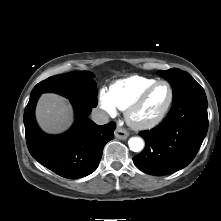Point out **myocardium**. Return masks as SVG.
Returning <instances> with one entry per match:
<instances>
[{
  "label": "myocardium",
  "mask_w": 221,
  "mask_h": 221,
  "mask_svg": "<svg viewBox=\"0 0 221 221\" xmlns=\"http://www.w3.org/2000/svg\"><path fill=\"white\" fill-rule=\"evenodd\" d=\"M161 84L166 85L169 89V98L165 107L160 112V114L153 119L144 120L139 118L138 116L139 110L141 109V107L143 106V104L151 94V92ZM173 100H174V90L172 85L166 80H157L156 82L148 86L129 106V108L126 111L127 121L133 128L138 130H149L155 128L160 123H162L164 119L167 117L172 107Z\"/></svg>",
  "instance_id": "1"
}]
</instances>
